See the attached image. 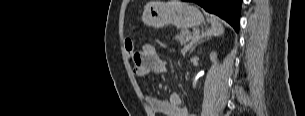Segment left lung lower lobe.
Here are the masks:
<instances>
[{
    "label": "left lung lower lobe",
    "instance_id": "0a47b994",
    "mask_svg": "<svg viewBox=\"0 0 305 116\" xmlns=\"http://www.w3.org/2000/svg\"><path fill=\"white\" fill-rule=\"evenodd\" d=\"M190 2H195L206 11L220 16L238 31L241 0H190Z\"/></svg>",
    "mask_w": 305,
    "mask_h": 116
}]
</instances>
